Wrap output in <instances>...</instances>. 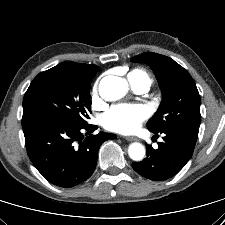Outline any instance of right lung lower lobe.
Instances as JSON below:
<instances>
[{
    "label": "right lung lower lobe",
    "instance_id": "98d812e1",
    "mask_svg": "<svg viewBox=\"0 0 225 225\" xmlns=\"http://www.w3.org/2000/svg\"><path fill=\"white\" fill-rule=\"evenodd\" d=\"M25 145L36 169L52 184L70 188L87 180L96 167L100 145L116 135L101 133L86 137L97 126H76L56 117L29 115L22 118ZM80 143L76 146V143Z\"/></svg>",
    "mask_w": 225,
    "mask_h": 225
}]
</instances>
